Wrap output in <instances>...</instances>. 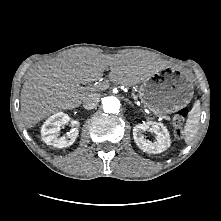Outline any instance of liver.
Wrapping results in <instances>:
<instances>
[{
    "mask_svg": "<svg viewBox=\"0 0 221 221\" xmlns=\"http://www.w3.org/2000/svg\"><path fill=\"white\" fill-rule=\"evenodd\" d=\"M110 67L111 82L132 86L159 71L156 62L139 53L103 54L81 48L38 64L27 73L21 90V119L31 128L44 118L78 107L97 90L81 87L102 78Z\"/></svg>",
    "mask_w": 221,
    "mask_h": 221,
    "instance_id": "6515ba94",
    "label": "liver"
}]
</instances>
